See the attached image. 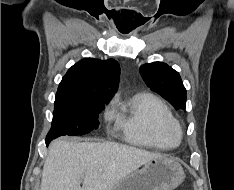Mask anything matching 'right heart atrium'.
I'll use <instances>...</instances> for the list:
<instances>
[{"label": "right heart atrium", "instance_id": "1", "mask_svg": "<svg viewBox=\"0 0 234 190\" xmlns=\"http://www.w3.org/2000/svg\"><path fill=\"white\" fill-rule=\"evenodd\" d=\"M104 116L106 120H110L113 117V110L110 105L106 108Z\"/></svg>", "mask_w": 234, "mask_h": 190}]
</instances>
